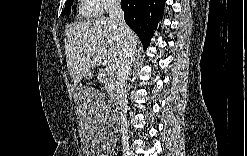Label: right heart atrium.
<instances>
[{"label": "right heart atrium", "instance_id": "obj_1", "mask_svg": "<svg viewBox=\"0 0 247 156\" xmlns=\"http://www.w3.org/2000/svg\"><path fill=\"white\" fill-rule=\"evenodd\" d=\"M91 2L96 6L97 14H103L117 4L114 0H95Z\"/></svg>", "mask_w": 247, "mask_h": 156}]
</instances>
